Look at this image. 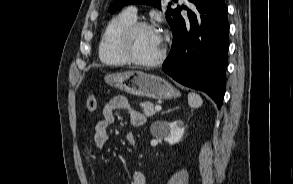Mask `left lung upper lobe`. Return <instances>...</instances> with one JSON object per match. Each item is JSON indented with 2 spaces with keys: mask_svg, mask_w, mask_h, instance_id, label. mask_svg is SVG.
I'll return each instance as SVG.
<instances>
[{
  "mask_svg": "<svg viewBox=\"0 0 293 184\" xmlns=\"http://www.w3.org/2000/svg\"><path fill=\"white\" fill-rule=\"evenodd\" d=\"M176 1L177 0H174V2ZM128 4H146V5H151L158 9H161L160 0H114L109 7V11L110 13H115L116 11L120 10L122 7ZM171 4L172 2L169 3V6L166 11V15H167L166 19L169 24H171L172 22L174 10H175L170 8Z\"/></svg>",
  "mask_w": 293,
  "mask_h": 184,
  "instance_id": "5c2ea615",
  "label": "left lung upper lobe"
}]
</instances>
